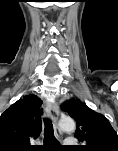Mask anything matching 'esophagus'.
<instances>
[{"label":"esophagus","instance_id":"1","mask_svg":"<svg viewBox=\"0 0 118 151\" xmlns=\"http://www.w3.org/2000/svg\"><path fill=\"white\" fill-rule=\"evenodd\" d=\"M46 112L47 115L53 120V122L56 124L57 119H58V115H59V110H58V106L55 103L52 102H48L46 104ZM56 132L59 134V130L56 127Z\"/></svg>","mask_w":118,"mask_h":151}]
</instances>
